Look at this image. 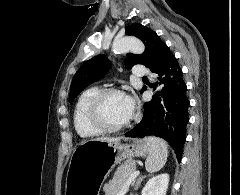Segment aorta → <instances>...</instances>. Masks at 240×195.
<instances>
[{"label":"aorta","mask_w":240,"mask_h":195,"mask_svg":"<svg viewBox=\"0 0 240 195\" xmlns=\"http://www.w3.org/2000/svg\"><path fill=\"white\" fill-rule=\"evenodd\" d=\"M112 50L118 54H125V52L143 54L145 46L138 38H122L119 42H113Z\"/></svg>","instance_id":"obj_1"}]
</instances>
